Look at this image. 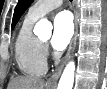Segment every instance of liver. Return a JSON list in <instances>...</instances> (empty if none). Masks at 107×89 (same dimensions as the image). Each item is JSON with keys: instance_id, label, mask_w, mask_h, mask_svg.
Here are the masks:
<instances>
[{"instance_id": "1", "label": "liver", "mask_w": 107, "mask_h": 89, "mask_svg": "<svg viewBox=\"0 0 107 89\" xmlns=\"http://www.w3.org/2000/svg\"><path fill=\"white\" fill-rule=\"evenodd\" d=\"M44 86V80L30 76H19L10 82L8 89H44Z\"/></svg>"}]
</instances>
